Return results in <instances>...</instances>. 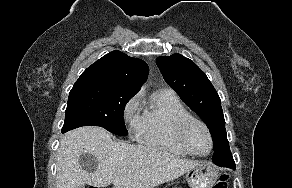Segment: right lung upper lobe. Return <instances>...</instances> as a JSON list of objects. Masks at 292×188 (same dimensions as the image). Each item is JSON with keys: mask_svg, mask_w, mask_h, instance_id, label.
Instances as JSON below:
<instances>
[{"mask_svg": "<svg viewBox=\"0 0 292 188\" xmlns=\"http://www.w3.org/2000/svg\"><path fill=\"white\" fill-rule=\"evenodd\" d=\"M148 65L121 51H112L88 67L75 84L91 83L137 93L147 79Z\"/></svg>", "mask_w": 292, "mask_h": 188, "instance_id": "obj_1", "label": "right lung upper lobe"}]
</instances>
